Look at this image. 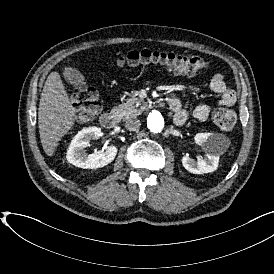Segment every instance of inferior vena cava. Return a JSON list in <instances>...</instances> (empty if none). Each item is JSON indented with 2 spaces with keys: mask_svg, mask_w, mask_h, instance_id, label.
<instances>
[{
  "mask_svg": "<svg viewBox=\"0 0 274 274\" xmlns=\"http://www.w3.org/2000/svg\"><path fill=\"white\" fill-rule=\"evenodd\" d=\"M141 122L138 119L130 118L125 122V128L129 131H136L140 128Z\"/></svg>",
  "mask_w": 274,
  "mask_h": 274,
  "instance_id": "602c4592",
  "label": "inferior vena cava"
}]
</instances>
